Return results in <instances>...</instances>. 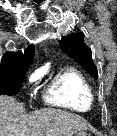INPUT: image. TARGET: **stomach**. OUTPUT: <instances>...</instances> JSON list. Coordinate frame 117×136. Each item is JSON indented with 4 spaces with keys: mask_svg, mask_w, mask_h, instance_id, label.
Returning <instances> with one entry per match:
<instances>
[{
    "mask_svg": "<svg viewBox=\"0 0 117 136\" xmlns=\"http://www.w3.org/2000/svg\"><path fill=\"white\" fill-rule=\"evenodd\" d=\"M75 136H87V134L83 131H79L75 134Z\"/></svg>",
    "mask_w": 117,
    "mask_h": 136,
    "instance_id": "obj_1",
    "label": "stomach"
}]
</instances>
